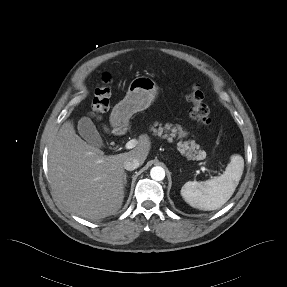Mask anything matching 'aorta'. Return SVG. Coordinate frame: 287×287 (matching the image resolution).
<instances>
[{
  "label": "aorta",
  "instance_id": "1",
  "mask_svg": "<svg viewBox=\"0 0 287 287\" xmlns=\"http://www.w3.org/2000/svg\"><path fill=\"white\" fill-rule=\"evenodd\" d=\"M150 176L155 181H162L165 178V170L160 166H155L151 169Z\"/></svg>",
  "mask_w": 287,
  "mask_h": 287
}]
</instances>
